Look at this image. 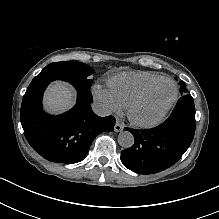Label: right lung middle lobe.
Segmentation results:
<instances>
[{
    "instance_id": "obj_1",
    "label": "right lung middle lobe",
    "mask_w": 219,
    "mask_h": 219,
    "mask_svg": "<svg viewBox=\"0 0 219 219\" xmlns=\"http://www.w3.org/2000/svg\"><path fill=\"white\" fill-rule=\"evenodd\" d=\"M94 70L83 63L75 61L55 62L47 65L40 73V75H57L62 77L74 78L80 83L90 88L92 80L89 76Z\"/></svg>"
}]
</instances>
